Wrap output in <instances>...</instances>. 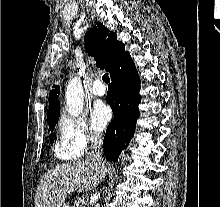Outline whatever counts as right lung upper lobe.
<instances>
[{"label": "right lung upper lobe", "instance_id": "cb5924a9", "mask_svg": "<svg viewBox=\"0 0 220 207\" xmlns=\"http://www.w3.org/2000/svg\"><path fill=\"white\" fill-rule=\"evenodd\" d=\"M85 41L86 51L96 59L97 67L107 69L110 73L114 65L127 54L125 45L117 40L116 34L112 31L110 32L100 22L86 33ZM59 93L60 87L53 85L49 94L50 108L47 112V120L53 119L60 113Z\"/></svg>", "mask_w": 220, "mask_h": 207}]
</instances>
